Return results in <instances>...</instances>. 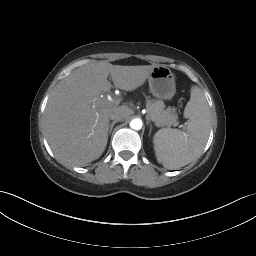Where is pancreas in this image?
Returning a JSON list of instances; mask_svg holds the SVG:
<instances>
[{"instance_id": "cf45deb5", "label": "pancreas", "mask_w": 256, "mask_h": 256, "mask_svg": "<svg viewBox=\"0 0 256 256\" xmlns=\"http://www.w3.org/2000/svg\"><path fill=\"white\" fill-rule=\"evenodd\" d=\"M147 114L146 118L152 120L157 127H170L178 124V116L175 111L168 107L165 109V104L162 100L146 101Z\"/></svg>"}]
</instances>
